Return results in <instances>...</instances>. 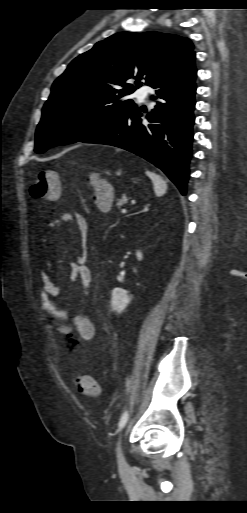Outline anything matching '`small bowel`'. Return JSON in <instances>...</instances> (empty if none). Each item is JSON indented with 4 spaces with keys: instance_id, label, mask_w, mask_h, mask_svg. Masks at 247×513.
Masks as SVG:
<instances>
[{
    "instance_id": "obj_1",
    "label": "small bowel",
    "mask_w": 247,
    "mask_h": 513,
    "mask_svg": "<svg viewBox=\"0 0 247 513\" xmlns=\"http://www.w3.org/2000/svg\"><path fill=\"white\" fill-rule=\"evenodd\" d=\"M64 222H72L75 224L81 236V241L83 245H85L89 234L86 219L79 213L64 214L54 220L50 226L55 228ZM70 268L71 274H74V279L79 282L82 295L84 291L88 290L92 280L91 272L85 263V248H83L82 254L71 262ZM38 276L41 284L39 292L41 308L53 319L58 333L66 338L68 342L75 344L77 349H83L95 338V326L93 322L83 313L80 304L75 308L72 314L66 308L57 305L53 298L61 295L62 286L45 271H40ZM69 318L72 319L73 327L65 323Z\"/></svg>"
}]
</instances>
